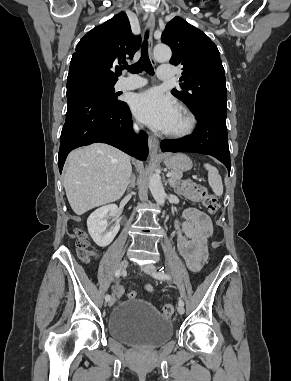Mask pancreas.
I'll use <instances>...</instances> for the list:
<instances>
[{
  "label": "pancreas",
  "instance_id": "1",
  "mask_svg": "<svg viewBox=\"0 0 291 381\" xmlns=\"http://www.w3.org/2000/svg\"><path fill=\"white\" fill-rule=\"evenodd\" d=\"M172 176L169 178V184L171 186H175L177 181L181 179L182 172L179 171H171Z\"/></svg>",
  "mask_w": 291,
  "mask_h": 381
}]
</instances>
